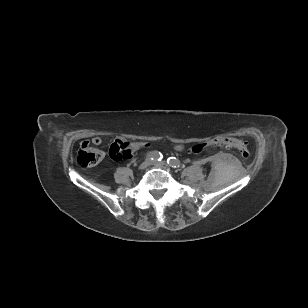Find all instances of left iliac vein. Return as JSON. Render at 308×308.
Instances as JSON below:
<instances>
[{"label": "left iliac vein", "instance_id": "4c4485c4", "mask_svg": "<svg viewBox=\"0 0 308 308\" xmlns=\"http://www.w3.org/2000/svg\"><path fill=\"white\" fill-rule=\"evenodd\" d=\"M152 165H154L156 167H163V166H165V162L164 161H153Z\"/></svg>", "mask_w": 308, "mask_h": 308}]
</instances>
